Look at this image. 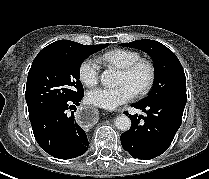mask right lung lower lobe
<instances>
[{
    "label": "right lung lower lobe",
    "instance_id": "1",
    "mask_svg": "<svg viewBox=\"0 0 209 179\" xmlns=\"http://www.w3.org/2000/svg\"><path fill=\"white\" fill-rule=\"evenodd\" d=\"M83 96L53 104L30 119L36 141L51 156L70 159L88 149L85 131L75 121L74 112L68 114L79 105Z\"/></svg>",
    "mask_w": 209,
    "mask_h": 179
}]
</instances>
